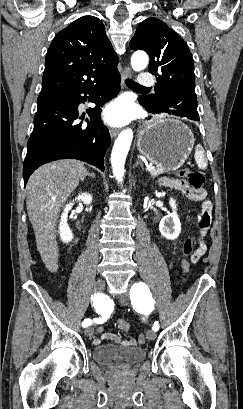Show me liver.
Masks as SVG:
<instances>
[{"label": "liver", "mask_w": 243, "mask_h": 409, "mask_svg": "<svg viewBox=\"0 0 243 409\" xmlns=\"http://www.w3.org/2000/svg\"><path fill=\"white\" fill-rule=\"evenodd\" d=\"M83 163L59 160L39 167L26 186V207L37 249L50 272L58 270L56 220L67 198L87 176Z\"/></svg>", "instance_id": "obj_1"}]
</instances>
